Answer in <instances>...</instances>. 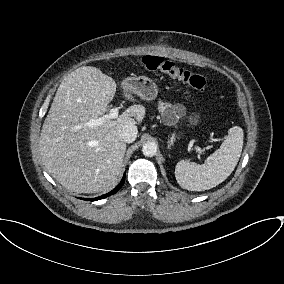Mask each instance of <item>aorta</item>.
Instances as JSON below:
<instances>
[{"label":"aorta","mask_w":284,"mask_h":284,"mask_svg":"<svg viewBox=\"0 0 284 284\" xmlns=\"http://www.w3.org/2000/svg\"><path fill=\"white\" fill-rule=\"evenodd\" d=\"M142 152L144 156L152 157L157 152V145L153 142H147L143 145Z\"/></svg>","instance_id":"aorta-1"}]
</instances>
